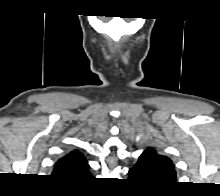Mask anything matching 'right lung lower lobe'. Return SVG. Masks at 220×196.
Returning a JSON list of instances; mask_svg holds the SVG:
<instances>
[{
  "label": "right lung lower lobe",
  "mask_w": 220,
  "mask_h": 196,
  "mask_svg": "<svg viewBox=\"0 0 220 196\" xmlns=\"http://www.w3.org/2000/svg\"><path fill=\"white\" fill-rule=\"evenodd\" d=\"M87 178H91V176L89 175V176H87ZM86 178V179H87ZM67 181V180H66ZM67 182H70V183H76V182H78V181H67Z\"/></svg>",
  "instance_id": "98d812e1"
}]
</instances>
